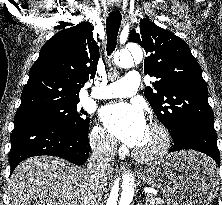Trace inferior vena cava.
Wrapping results in <instances>:
<instances>
[{
    "label": "inferior vena cava",
    "instance_id": "1",
    "mask_svg": "<svg viewBox=\"0 0 222 205\" xmlns=\"http://www.w3.org/2000/svg\"><path fill=\"white\" fill-rule=\"evenodd\" d=\"M115 155V148L109 145L107 149H95L90 157L87 174L89 176L92 186L98 187L100 183L113 171V157ZM96 195L92 191L86 194L83 205H95Z\"/></svg>",
    "mask_w": 222,
    "mask_h": 205
}]
</instances>
